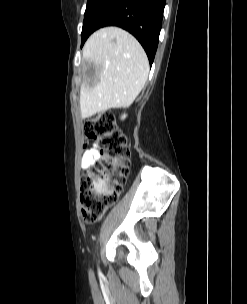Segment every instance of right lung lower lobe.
<instances>
[{"instance_id":"1","label":"right lung lower lobe","mask_w":247,"mask_h":304,"mask_svg":"<svg viewBox=\"0 0 247 304\" xmlns=\"http://www.w3.org/2000/svg\"><path fill=\"white\" fill-rule=\"evenodd\" d=\"M164 7L165 0H98L84 18L81 47L95 30L119 26L137 38L152 65Z\"/></svg>"}]
</instances>
